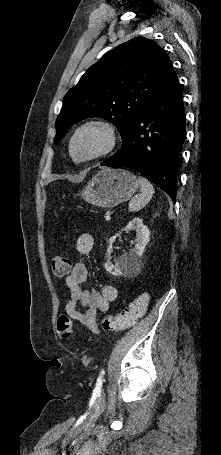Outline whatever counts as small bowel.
<instances>
[{
    "mask_svg": "<svg viewBox=\"0 0 221 455\" xmlns=\"http://www.w3.org/2000/svg\"><path fill=\"white\" fill-rule=\"evenodd\" d=\"M94 246V238L90 233H81L76 239V250L81 255H88ZM88 268L82 262H76L65 283L68 288V300L65 313L80 322L92 332L100 331L98 314L109 311L111 303L117 297V290L112 285H102L100 290L84 287L88 278Z\"/></svg>",
    "mask_w": 221,
    "mask_h": 455,
    "instance_id": "1",
    "label": "small bowel"
}]
</instances>
